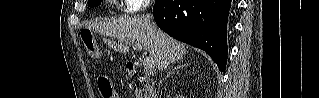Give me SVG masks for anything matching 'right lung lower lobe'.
Returning a JSON list of instances; mask_svg holds the SVG:
<instances>
[{
    "mask_svg": "<svg viewBox=\"0 0 319 98\" xmlns=\"http://www.w3.org/2000/svg\"><path fill=\"white\" fill-rule=\"evenodd\" d=\"M230 4L231 0H156L153 16L164 32L204 50L224 71Z\"/></svg>",
    "mask_w": 319,
    "mask_h": 98,
    "instance_id": "1",
    "label": "right lung lower lobe"
}]
</instances>
